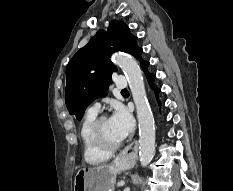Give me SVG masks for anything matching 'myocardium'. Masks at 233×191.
Returning <instances> with one entry per match:
<instances>
[{"instance_id": "1", "label": "myocardium", "mask_w": 233, "mask_h": 191, "mask_svg": "<svg viewBox=\"0 0 233 191\" xmlns=\"http://www.w3.org/2000/svg\"><path fill=\"white\" fill-rule=\"evenodd\" d=\"M107 116L101 115L94 119L91 124L89 131V138L91 144L99 151L104 153H113L115 152L122 144V142H118L116 144H108L104 141L101 135V124L103 121L107 120Z\"/></svg>"}]
</instances>
